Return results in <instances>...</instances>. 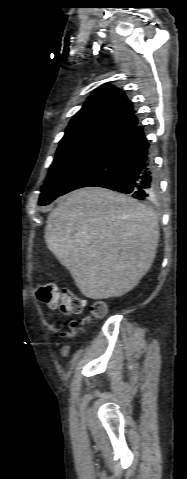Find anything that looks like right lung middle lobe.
<instances>
[{
	"label": "right lung middle lobe",
	"instance_id": "dd1d6c3e",
	"mask_svg": "<svg viewBox=\"0 0 187 479\" xmlns=\"http://www.w3.org/2000/svg\"><path fill=\"white\" fill-rule=\"evenodd\" d=\"M125 134L107 126H89L66 131L42 187L39 205H47L56 199L75 176Z\"/></svg>",
	"mask_w": 187,
	"mask_h": 479
}]
</instances>
